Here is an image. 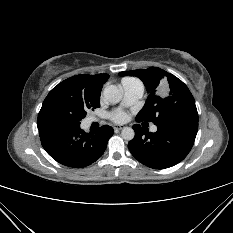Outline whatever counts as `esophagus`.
<instances>
[{"instance_id": "34e87169", "label": "esophagus", "mask_w": 233, "mask_h": 233, "mask_svg": "<svg viewBox=\"0 0 233 233\" xmlns=\"http://www.w3.org/2000/svg\"><path fill=\"white\" fill-rule=\"evenodd\" d=\"M123 128H125V126H123V125H113V129L116 131L122 130Z\"/></svg>"}]
</instances>
